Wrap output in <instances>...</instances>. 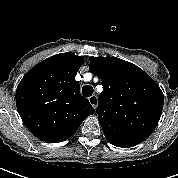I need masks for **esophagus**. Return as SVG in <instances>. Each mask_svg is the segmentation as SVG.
Wrapping results in <instances>:
<instances>
[{
    "mask_svg": "<svg viewBox=\"0 0 178 178\" xmlns=\"http://www.w3.org/2000/svg\"><path fill=\"white\" fill-rule=\"evenodd\" d=\"M89 102L94 108H97L98 98L96 95H92L91 97H89Z\"/></svg>",
    "mask_w": 178,
    "mask_h": 178,
    "instance_id": "34e87169",
    "label": "esophagus"
}]
</instances>
